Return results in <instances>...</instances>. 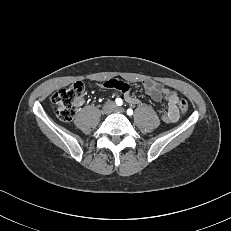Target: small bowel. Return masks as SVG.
<instances>
[{
  "label": "small bowel",
  "mask_w": 231,
  "mask_h": 231,
  "mask_svg": "<svg viewBox=\"0 0 231 231\" xmlns=\"http://www.w3.org/2000/svg\"><path fill=\"white\" fill-rule=\"evenodd\" d=\"M104 86L123 93L125 101L129 104H142V101L140 99L130 94L128 86L122 81L108 80L104 83ZM143 87L146 94L154 101H160L163 97H165L167 104L161 118L166 123L176 122L179 118V96L177 95V93L168 88H165L160 83L154 82L152 80L144 81Z\"/></svg>",
  "instance_id": "small-bowel-1"
}]
</instances>
